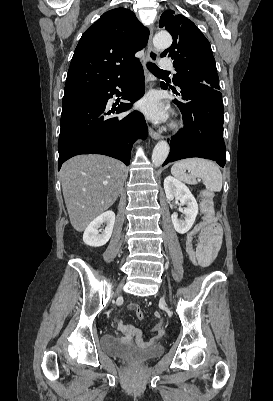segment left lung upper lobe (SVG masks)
Returning <instances> with one entry per match:
<instances>
[{"mask_svg": "<svg viewBox=\"0 0 273 401\" xmlns=\"http://www.w3.org/2000/svg\"><path fill=\"white\" fill-rule=\"evenodd\" d=\"M159 27L165 28L173 37L172 45L161 53V57L174 60L177 73L173 76V83L176 86L203 83L220 89L210 43L195 24L168 10L161 15Z\"/></svg>", "mask_w": 273, "mask_h": 401, "instance_id": "obj_1", "label": "left lung upper lobe"}]
</instances>
